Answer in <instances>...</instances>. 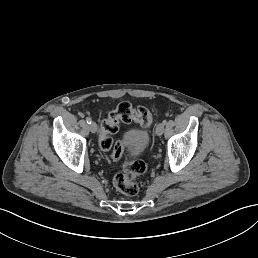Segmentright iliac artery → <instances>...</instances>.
Wrapping results in <instances>:
<instances>
[{"label": "right iliac artery", "mask_w": 258, "mask_h": 258, "mask_svg": "<svg viewBox=\"0 0 258 258\" xmlns=\"http://www.w3.org/2000/svg\"><path fill=\"white\" fill-rule=\"evenodd\" d=\"M86 122H87L88 124H91V123H92L91 118L87 117V118H86Z\"/></svg>", "instance_id": "right-iliac-artery-1"}]
</instances>
